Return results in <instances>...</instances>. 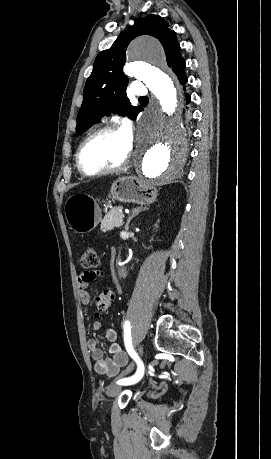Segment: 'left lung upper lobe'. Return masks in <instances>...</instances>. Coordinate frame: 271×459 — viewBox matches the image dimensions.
Listing matches in <instances>:
<instances>
[{
    "mask_svg": "<svg viewBox=\"0 0 271 459\" xmlns=\"http://www.w3.org/2000/svg\"><path fill=\"white\" fill-rule=\"evenodd\" d=\"M141 35L153 36L161 42L169 67L173 68L182 60L176 34L168 28V23L163 18L150 14L138 19L110 49L102 51L96 57L93 71L84 88V99L77 118V134L84 133L103 115L111 112L135 119L143 110L141 106H131L126 97L128 78L122 72L127 46Z\"/></svg>",
    "mask_w": 271,
    "mask_h": 459,
    "instance_id": "5c2ea615",
    "label": "left lung upper lobe"
}]
</instances>
